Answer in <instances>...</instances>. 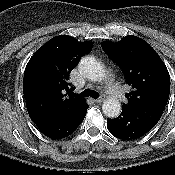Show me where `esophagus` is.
I'll return each mask as SVG.
<instances>
[{
	"label": "esophagus",
	"mask_w": 175,
	"mask_h": 175,
	"mask_svg": "<svg viewBox=\"0 0 175 175\" xmlns=\"http://www.w3.org/2000/svg\"><path fill=\"white\" fill-rule=\"evenodd\" d=\"M104 98H105V94L102 93V92H100V93H99V97H98L97 99H95L94 101H95L96 103H99V102H102V101L104 100Z\"/></svg>",
	"instance_id": "34e87169"
}]
</instances>
